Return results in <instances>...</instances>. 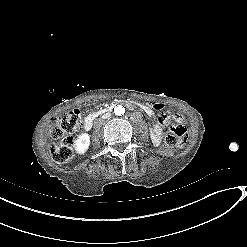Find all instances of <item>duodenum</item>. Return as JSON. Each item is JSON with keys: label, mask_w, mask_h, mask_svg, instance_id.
Segmentation results:
<instances>
[{"label": "duodenum", "mask_w": 247, "mask_h": 247, "mask_svg": "<svg viewBox=\"0 0 247 247\" xmlns=\"http://www.w3.org/2000/svg\"><path fill=\"white\" fill-rule=\"evenodd\" d=\"M119 104V102H114L112 105L100 110V111H97V112H94L92 114H90L89 116L86 117L85 121H84V128L85 130H90L93 126V123L95 121V119L102 115V114H105V113H109L113 110V108L115 107V105ZM126 104H128L129 106H133V103L132 102H126Z\"/></svg>", "instance_id": "1"}]
</instances>
